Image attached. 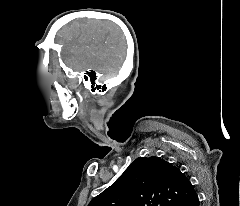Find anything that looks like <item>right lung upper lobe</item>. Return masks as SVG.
Masks as SVG:
<instances>
[{
	"instance_id": "1",
	"label": "right lung upper lobe",
	"mask_w": 240,
	"mask_h": 206,
	"mask_svg": "<svg viewBox=\"0 0 240 206\" xmlns=\"http://www.w3.org/2000/svg\"><path fill=\"white\" fill-rule=\"evenodd\" d=\"M195 194L177 167L158 157H139L88 206H177Z\"/></svg>"
}]
</instances>
